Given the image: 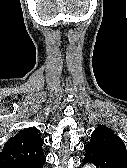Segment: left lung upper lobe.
Listing matches in <instances>:
<instances>
[{
  "mask_svg": "<svg viewBox=\"0 0 127 168\" xmlns=\"http://www.w3.org/2000/svg\"><path fill=\"white\" fill-rule=\"evenodd\" d=\"M104 141L116 149L121 156L123 162L127 164V149L124 142L113 133L111 129L106 126L98 125V127L91 134V140Z\"/></svg>",
  "mask_w": 127,
  "mask_h": 168,
  "instance_id": "1",
  "label": "left lung upper lobe"
}]
</instances>
